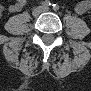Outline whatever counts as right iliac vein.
<instances>
[{
	"label": "right iliac vein",
	"mask_w": 91,
	"mask_h": 91,
	"mask_svg": "<svg viewBox=\"0 0 91 91\" xmlns=\"http://www.w3.org/2000/svg\"><path fill=\"white\" fill-rule=\"evenodd\" d=\"M42 12V8L41 7H35L33 10H32V15L37 17L41 14Z\"/></svg>",
	"instance_id": "obj_1"
}]
</instances>
